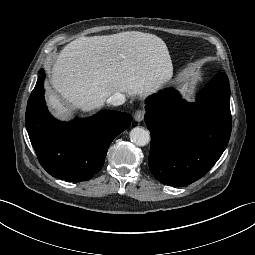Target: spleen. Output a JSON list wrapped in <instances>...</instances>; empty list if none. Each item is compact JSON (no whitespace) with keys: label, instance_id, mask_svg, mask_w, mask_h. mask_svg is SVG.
<instances>
[{"label":"spleen","instance_id":"3e777b00","mask_svg":"<svg viewBox=\"0 0 255 255\" xmlns=\"http://www.w3.org/2000/svg\"><path fill=\"white\" fill-rule=\"evenodd\" d=\"M200 79L201 77L197 73L186 74L184 79L186 82L181 88V91L183 92V94L185 95L189 91V88L193 87V85Z\"/></svg>","mask_w":255,"mask_h":255}]
</instances>
